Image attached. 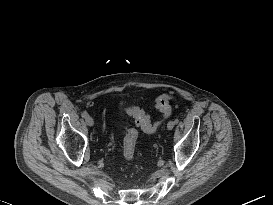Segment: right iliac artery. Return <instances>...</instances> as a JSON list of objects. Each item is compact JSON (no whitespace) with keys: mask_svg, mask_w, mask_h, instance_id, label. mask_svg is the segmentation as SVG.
<instances>
[{"mask_svg":"<svg viewBox=\"0 0 273 205\" xmlns=\"http://www.w3.org/2000/svg\"><path fill=\"white\" fill-rule=\"evenodd\" d=\"M81 116H82L83 118H86V117L88 116V113H87L86 111H83L82 114H81Z\"/></svg>","mask_w":273,"mask_h":205,"instance_id":"obj_1","label":"right iliac artery"}]
</instances>
